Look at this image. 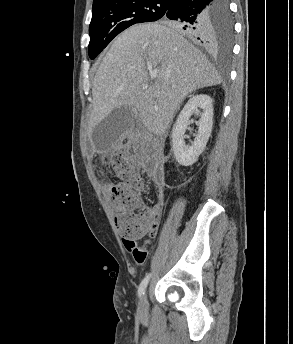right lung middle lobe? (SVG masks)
Masks as SVG:
<instances>
[{"instance_id":"dd1d6c3e","label":"right lung middle lobe","mask_w":293,"mask_h":344,"mask_svg":"<svg viewBox=\"0 0 293 344\" xmlns=\"http://www.w3.org/2000/svg\"><path fill=\"white\" fill-rule=\"evenodd\" d=\"M170 0H113L93 7L89 26L88 53L94 59L120 32L136 23L156 21L164 17ZM212 27L214 44L230 49L233 35L227 0H217Z\"/></svg>"}]
</instances>
